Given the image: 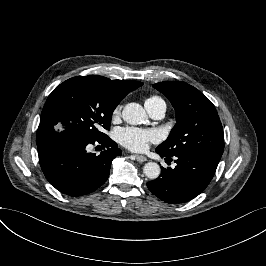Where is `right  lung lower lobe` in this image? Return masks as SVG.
Segmentation results:
<instances>
[{"label":"right lung lower lobe","mask_w":266,"mask_h":266,"mask_svg":"<svg viewBox=\"0 0 266 266\" xmlns=\"http://www.w3.org/2000/svg\"><path fill=\"white\" fill-rule=\"evenodd\" d=\"M97 141L106 147L99 156L86 151V146L95 141L78 137L58 136L38 147L40 166L47 180L73 197L89 194L103 185L112 160L122 152L108 136Z\"/></svg>","instance_id":"obj_1"}]
</instances>
